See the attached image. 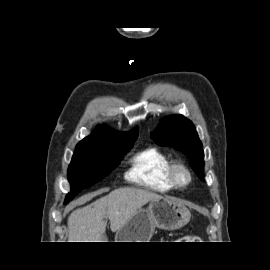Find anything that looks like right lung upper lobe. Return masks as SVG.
<instances>
[{"label": "right lung upper lobe", "mask_w": 270, "mask_h": 270, "mask_svg": "<svg viewBox=\"0 0 270 270\" xmlns=\"http://www.w3.org/2000/svg\"><path fill=\"white\" fill-rule=\"evenodd\" d=\"M138 130L122 133L115 132L103 125L98 127L90 136L80 141L76 147H101L107 145H115L129 143L136 140Z\"/></svg>", "instance_id": "right-lung-upper-lobe-1"}]
</instances>
